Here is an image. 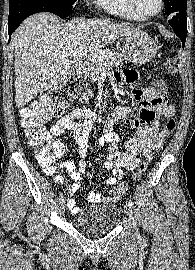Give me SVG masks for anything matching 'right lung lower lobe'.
Instances as JSON below:
<instances>
[{
    "instance_id": "98d812e1",
    "label": "right lung lower lobe",
    "mask_w": 195,
    "mask_h": 270,
    "mask_svg": "<svg viewBox=\"0 0 195 270\" xmlns=\"http://www.w3.org/2000/svg\"><path fill=\"white\" fill-rule=\"evenodd\" d=\"M39 12L53 13L52 5L44 0H9V38L25 18Z\"/></svg>"
}]
</instances>
